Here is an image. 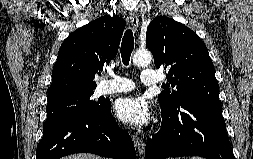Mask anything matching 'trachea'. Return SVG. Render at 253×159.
I'll use <instances>...</instances> for the list:
<instances>
[{"label":"trachea","mask_w":253,"mask_h":159,"mask_svg":"<svg viewBox=\"0 0 253 159\" xmlns=\"http://www.w3.org/2000/svg\"><path fill=\"white\" fill-rule=\"evenodd\" d=\"M134 49V36L131 29L126 30L121 43V57L124 65H128L131 57V53Z\"/></svg>","instance_id":"obj_1"}]
</instances>
